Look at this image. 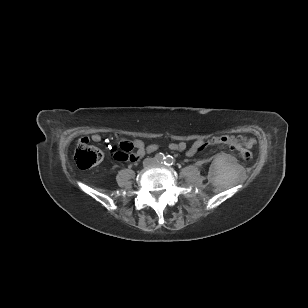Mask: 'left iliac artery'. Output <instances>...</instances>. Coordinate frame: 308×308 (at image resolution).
Wrapping results in <instances>:
<instances>
[{"mask_svg": "<svg viewBox=\"0 0 308 308\" xmlns=\"http://www.w3.org/2000/svg\"><path fill=\"white\" fill-rule=\"evenodd\" d=\"M166 165H174L175 164V159L168 155L165 159V162H164Z\"/></svg>", "mask_w": 308, "mask_h": 308, "instance_id": "44dca946", "label": "left iliac artery"}]
</instances>
